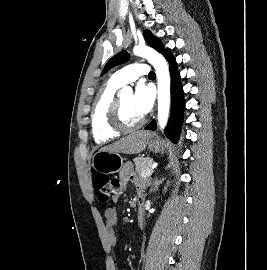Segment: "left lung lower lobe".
<instances>
[{"instance_id": "obj_1", "label": "left lung lower lobe", "mask_w": 267, "mask_h": 270, "mask_svg": "<svg viewBox=\"0 0 267 270\" xmlns=\"http://www.w3.org/2000/svg\"><path fill=\"white\" fill-rule=\"evenodd\" d=\"M164 57L169 62L171 73V94H172V112L170 123L165 132L166 136L177 143L183 121L184 113V93L180 83V75L177 70L176 61L169 49L164 52ZM147 130H156V121L152 120L146 127Z\"/></svg>"}]
</instances>
